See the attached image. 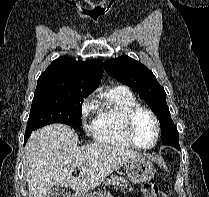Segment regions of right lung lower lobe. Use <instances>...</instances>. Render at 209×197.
Masks as SVG:
<instances>
[{
	"label": "right lung lower lobe",
	"mask_w": 209,
	"mask_h": 197,
	"mask_svg": "<svg viewBox=\"0 0 209 197\" xmlns=\"http://www.w3.org/2000/svg\"><path fill=\"white\" fill-rule=\"evenodd\" d=\"M31 133H32V131L26 132V133H25V136H24V138H25L24 144L27 142V140H28V138L30 137Z\"/></svg>",
	"instance_id": "right-lung-lower-lobe-1"
}]
</instances>
